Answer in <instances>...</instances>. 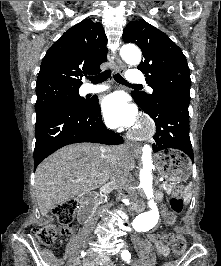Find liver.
<instances>
[{
    "label": "liver",
    "mask_w": 221,
    "mask_h": 266,
    "mask_svg": "<svg viewBox=\"0 0 221 266\" xmlns=\"http://www.w3.org/2000/svg\"><path fill=\"white\" fill-rule=\"evenodd\" d=\"M102 148L90 143L68 145L37 167L35 193L42 216L59 204L95 190L108 181L111 167L102 157ZM110 149L117 156L116 168L128 175L134 168L129 150L124 146Z\"/></svg>",
    "instance_id": "1"
}]
</instances>
